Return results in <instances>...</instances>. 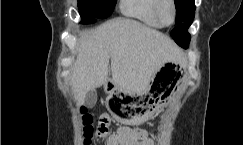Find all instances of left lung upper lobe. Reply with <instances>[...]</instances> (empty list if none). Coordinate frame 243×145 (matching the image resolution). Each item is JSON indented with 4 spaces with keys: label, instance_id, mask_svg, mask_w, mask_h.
I'll return each mask as SVG.
<instances>
[{
    "label": "left lung upper lobe",
    "instance_id": "1",
    "mask_svg": "<svg viewBox=\"0 0 243 145\" xmlns=\"http://www.w3.org/2000/svg\"><path fill=\"white\" fill-rule=\"evenodd\" d=\"M194 1L195 0H175L176 24L179 25L172 30L171 36L177 44L185 41L190 36L187 29L194 19Z\"/></svg>",
    "mask_w": 243,
    "mask_h": 145
}]
</instances>
